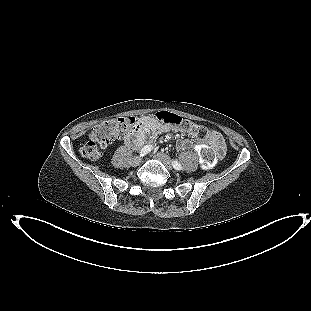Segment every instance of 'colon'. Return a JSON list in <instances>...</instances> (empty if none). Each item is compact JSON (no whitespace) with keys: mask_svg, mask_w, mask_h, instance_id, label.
<instances>
[{"mask_svg":"<svg viewBox=\"0 0 311 311\" xmlns=\"http://www.w3.org/2000/svg\"><path fill=\"white\" fill-rule=\"evenodd\" d=\"M156 117L160 122L176 127L182 132L191 135L198 143L207 140L212 141L214 138L213 134L205 127L199 126L174 113L159 111ZM136 126V119L130 116L115 117L99 122L91 129L89 139L81 145V155L90 160L99 159L103 155L104 149L109 144L115 140L126 137ZM217 142V147H203L200 150V158L204 164L212 165L218 158L223 157L225 148L222 139L217 138Z\"/></svg>","mask_w":311,"mask_h":311,"instance_id":"obj_1","label":"colon"}]
</instances>
